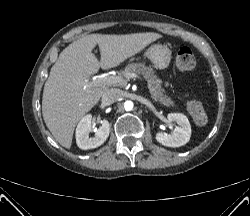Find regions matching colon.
<instances>
[{"mask_svg":"<svg viewBox=\"0 0 250 216\" xmlns=\"http://www.w3.org/2000/svg\"><path fill=\"white\" fill-rule=\"evenodd\" d=\"M176 64L179 70L183 72L193 70L196 65V59L193 52L187 47H181L177 53ZM187 96V110L195 123L198 125L206 124L208 116L203 104L196 98L191 89H188Z\"/></svg>","mask_w":250,"mask_h":216,"instance_id":"1","label":"colon"}]
</instances>
